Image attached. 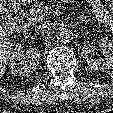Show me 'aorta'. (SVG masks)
<instances>
[{
	"mask_svg": "<svg viewBox=\"0 0 113 113\" xmlns=\"http://www.w3.org/2000/svg\"><path fill=\"white\" fill-rule=\"evenodd\" d=\"M57 40L61 43H68L73 38V31L67 27H61L57 34Z\"/></svg>",
	"mask_w": 113,
	"mask_h": 113,
	"instance_id": "aorta-1",
	"label": "aorta"
}]
</instances>
